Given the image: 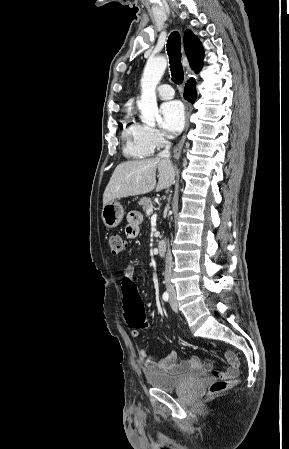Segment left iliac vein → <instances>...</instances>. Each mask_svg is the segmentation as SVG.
<instances>
[{
  "mask_svg": "<svg viewBox=\"0 0 289 449\" xmlns=\"http://www.w3.org/2000/svg\"><path fill=\"white\" fill-rule=\"evenodd\" d=\"M170 305H171V308H172L175 312L178 311V306H177V303H176V301L174 300V297H173V296H171V299H170Z\"/></svg>",
  "mask_w": 289,
  "mask_h": 449,
  "instance_id": "obj_1",
  "label": "left iliac vein"
}]
</instances>
